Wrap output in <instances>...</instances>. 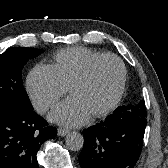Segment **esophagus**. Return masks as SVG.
<instances>
[{"label":"esophagus","mask_w":168,"mask_h":168,"mask_svg":"<svg viewBox=\"0 0 168 168\" xmlns=\"http://www.w3.org/2000/svg\"><path fill=\"white\" fill-rule=\"evenodd\" d=\"M69 133V130L68 129H65V128H58V135L59 136H65L66 134Z\"/></svg>","instance_id":"1"}]
</instances>
